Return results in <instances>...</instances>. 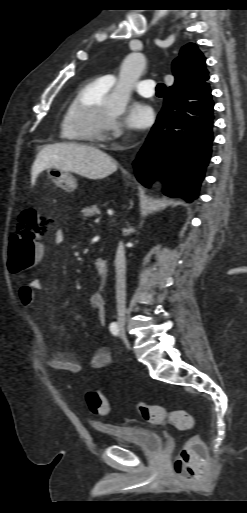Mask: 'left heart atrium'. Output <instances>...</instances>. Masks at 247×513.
Returning a JSON list of instances; mask_svg holds the SVG:
<instances>
[{"label": "left heart atrium", "instance_id": "obj_1", "mask_svg": "<svg viewBox=\"0 0 247 513\" xmlns=\"http://www.w3.org/2000/svg\"><path fill=\"white\" fill-rule=\"evenodd\" d=\"M154 120L155 113L147 104L135 102L128 109L127 121L134 128H148L154 123Z\"/></svg>", "mask_w": 247, "mask_h": 513}]
</instances>
